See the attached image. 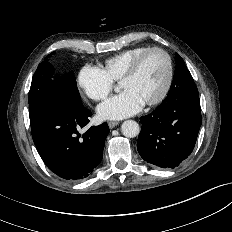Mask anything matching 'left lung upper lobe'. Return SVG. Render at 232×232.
I'll return each instance as SVG.
<instances>
[{
    "label": "left lung upper lobe",
    "mask_w": 232,
    "mask_h": 232,
    "mask_svg": "<svg viewBox=\"0 0 232 232\" xmlns=\"http://www.w3.org/2000/svg\"><path fill=\"white\" fill-rule=\"evenodd\" d=\"M176 70L169 94L198 95V89L183 59L176 54Z\"/></svg>",
    "instance_id": "obj_1"
}]
</instances>
